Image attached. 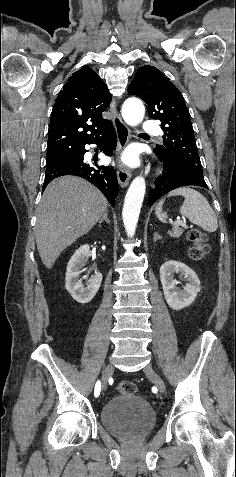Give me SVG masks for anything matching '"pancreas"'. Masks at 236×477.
I'll list each match as a JSON object with an SVG mask.
<instances>
[{"label":"pancreas","instance_id":"1","mask_svg":"<svg viewBox=\"0 0 236 477\" xmlns=\"http://www.w3.org/2000/svg\"><path fill=\"white\" fill-rule=\"evenodd\" d=\"M183 229H175L173 231L170 232V236L173 237V238H179L182 234H183Z\"/></svg>","mask_w":236,"mask_h":477}]
</instances>
